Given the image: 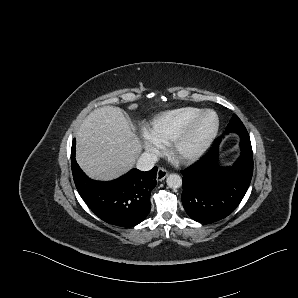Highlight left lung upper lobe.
I'll return each instance as SVG.
<instances>
[{"instance_id":"5c2ea615","label":"left lung upper lobe","mask_w":298,"mask_h":298,"mask_svg":"<svg viewBox=\"0 0 298 298\" xmlns=\"http://www.w3.org/2000/svg\"><path fill=\"white\" fill-rule=\"evenodd\" d=\"M240 128H245V126L243 125L241 120L237 117V115H233V117L231 118V120L226 128V132L233 131V130L240 129Z\"/></svg>"}]
</instances>
